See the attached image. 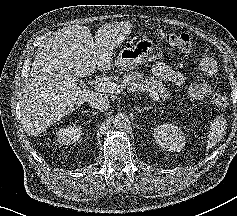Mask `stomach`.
I'll return each instance as SVG.
<instances>
[{
	"instance_id": "0dacf381",
	"label": "stomach",
	"mask_w": 237,
	"mask_h": 216,
	"mask_svg": "<svg viewBox=\"0 0 237 216\" xmlns=\"http://www.w3.org/2000/svg\"><path fill=\"white\" fill-rule=\"evenodd\" d=\"M153 51L154 43L143 37L133 46L123 48L115 60V65L122 70H132L150 59Z\"/></svg>"
}]
</instances>
